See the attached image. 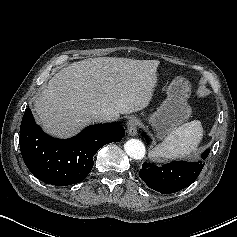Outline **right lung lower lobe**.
Wrapping results in <instances>:
<instances>
[{
    "label": "right lung lower lobe",
    "mask_w": 237,
    "mask_h": 237,
    "mask_svg": "<svg viewBox=\"0 0 237 237\" xmlns=\"http://www.w3.org/2000/svg\"><path fill=\"white\" fill-rule=\"evenodd\" d=\"M125 135L118 123L96 124L69 139H56L36 125L27 108L20 127V149L30 172L39 180L56 185L76 184L93 167V156L105 144L119 142Z\"/></svg>",
    "instance_id": "right-lung-lower-lobe-1"
}]
</instances>
